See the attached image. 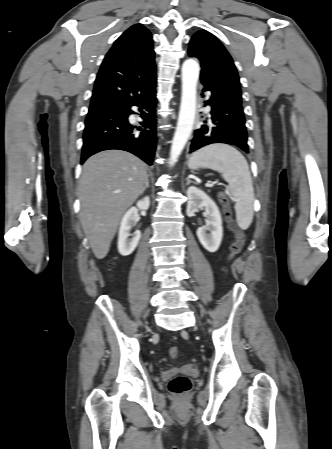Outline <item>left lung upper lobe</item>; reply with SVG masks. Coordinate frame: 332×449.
Instances as JSON below:
<instances>
[{
  "label": "left lung upper lobe",
  "instance_id": "obj_1",
  "mask_svg": "<svg viewBox=\"0 0 332 449\" xmlns=\"http://www.w3.org/2000/svg\"><path fill=\"white\" fill-rule=\"evenodd\" d=\"M188 54L200 60V80L204 87L242 104L239 77L233 60L214 35L205 30L195 33L189 43Z\"/></svg>",
  "mask_w": 332,
  "mask_h": 449
}]
</instances>
